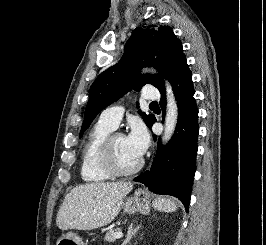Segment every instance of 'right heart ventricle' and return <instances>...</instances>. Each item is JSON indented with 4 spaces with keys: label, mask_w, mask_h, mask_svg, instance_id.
Segmentation results:
<instances>
[{
    "label": "right heart ventricle",
    "mask_w": 266,
    "mask_h": 245,
    "mask_svg": "<svg viewBox=\"0 0 266 245\" xmlns=\"http://www.w3.org/2000/svg\"><path fill=\"white\" fill-rule=\"evenodd\" d=\"M112 130L113 127L109 124L97 121L89 131L83 145L80 162V177L83 182L100 185L111 179L99 165L98 152L104 139Z\"/></svg>",
    "instance_id": "1"
}]
</instances>
